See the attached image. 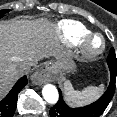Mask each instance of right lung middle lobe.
<instances>
[{"instance_id": "right-lung-middle-lobe-1", "label": "right lung middle lobe", "mask_w": 117, "mask_h": 117, "mask_svg": "<svg viewBox=\"0 0 117 117\" xmlns=\"http://www.w3.org/2000/svg\"><path fill=\"white\" fill-rule=\"evenodd\" d=\"M10 10H0V18H2L4 16L5 13H8Z\"/></svg>"}]
</instances>
